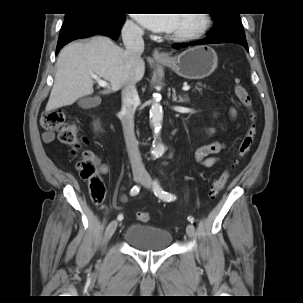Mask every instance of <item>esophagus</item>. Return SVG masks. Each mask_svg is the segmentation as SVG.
<instances>
[{
	"instance_id": "34e87169",
	"label": "esophagus",
	"mask_w": 303,
	"mask_h": 303,
	"mask_svg": "<svg viewBox=\"0 0 303 303\" xmlns=\"http://www.w3.org/2000/svg\"><path fill=\"white\" fill-rule=\"evenodd\" d=\"M153 58L157 61H162V60H168L169 59V57L167 55L161 53L159 49H154Z\"/></svg>"
}]
</instances>
